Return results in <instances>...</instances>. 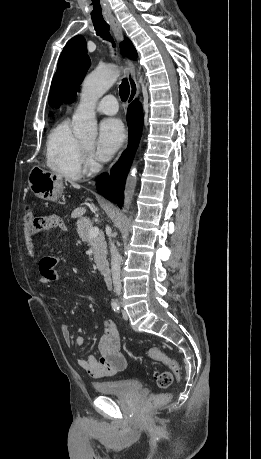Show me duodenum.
Returning <instances> with one entry per match:
<instances>
[{"mask_svg": "<svg viewBox=\"0 0 261 459\" xmlns=\"http://www.w3.org/2000/svg\"><path fill=\"white\" fill-rule=\"evenodd\" d=\"M100 270L108 284L112 283V277H111V271L108 266L106 265H101Z\"/></svg>", "mask_w": 261, "mask_h": 459, "instance_id": "1", "label": "duodenum"}]
</instances>
